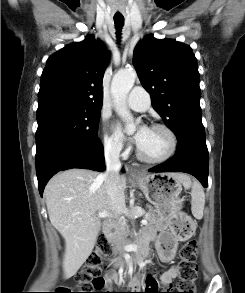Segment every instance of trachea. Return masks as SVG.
I'll list each match as a JSON object with an SVG mask.
<instances>
[{
    "instance_id": "obj_1",
    "label": "trachea",
    "mask_w": 245,
    "mask_h": 293,
    "mask_svg": "<svg viewBox=\"0 0 245 293\" xmlns=\"http://www.w3.org/2000/svg\"><path fill=\"white\" fill-rule=\"evenodd\" d=\"M115 26L117 29V35H120V31L124 25V18H114Z\"/></svg>"
}]
</instances>
